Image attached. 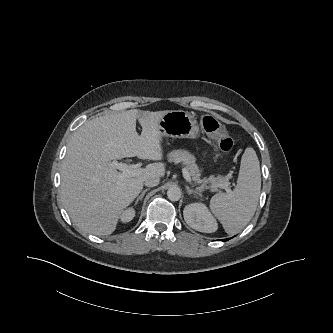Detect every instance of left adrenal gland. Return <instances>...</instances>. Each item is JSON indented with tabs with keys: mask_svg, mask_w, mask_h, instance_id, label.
I'll return each instance as SVG.
<instances>
[{
	"mask_svg": "<svg viewBox=\"0 0 333 333\" xmlns=\"http://www.w3.org/2000/svg\"><path fill=\"white\" fill-rule=\"evenodd\" d=\"M186 190L188 194H198L201 195L198 191L190 189L189 186H186Z\"/></svg>",
	"mask_w": 333,
	"mask_h": 333,
	"instance_id": "left-adrenal-gland-1",
	"label": "left adrenal gland"
}]
</instances>
